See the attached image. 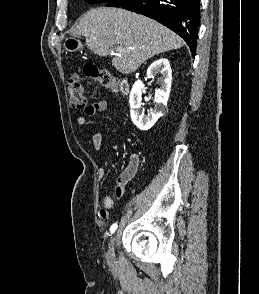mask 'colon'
<instances>
[{"label": "colon", "instance_id": "colon-1", "mask_svg": "<svg viewBox=\"0 0 259 294\" xmlns=\"http://www.w3.org/2000/svg\"><path fill=\"white\" fill-rule=\"evenodd\" d=\"M84 75L109 90H117L119 81L109 71L99 69L94 65L84 67ZM67 91L70 104L74 108L83 109L87 107L84 86L78 74H71L67 81Z\"/></svg>", "mask_w": 259, "mask_h": 294}]
</instances>
